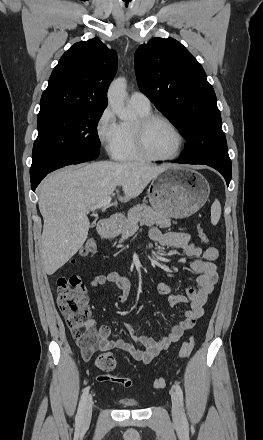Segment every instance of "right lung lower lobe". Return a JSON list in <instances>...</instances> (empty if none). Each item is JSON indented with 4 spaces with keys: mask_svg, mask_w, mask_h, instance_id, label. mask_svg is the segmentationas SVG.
Segmentation results:
<instances>
[{
    "mask_svg": "<svg viewBox=\"0 0 263 440\" xmlns=\"http://www.w3.org/2000/svg\"><path fill=\"white\" fill-rule=\"evenodd\" d=\"M99 153H100L99 149H90V150L85 151V153L83 154L84 158H83V160L80 163L87 162V161H90V160H93V159L97 158ZM66 165H71V164H68V163H65V162L56 163L48 171L42 173L39 176H36L35 178H32L31 179V188H32V190L35 191V189L38 186V184L41 182V180L48 173H50V172H52V171H54L56 169L62 168L64 166H66Z\"/></svg>",
    "mask_w": 263,
    "mask_h": 440,
    "instance_id": "98d812e1",
    "label": "right lung lower lobe"
}]
</instances>
